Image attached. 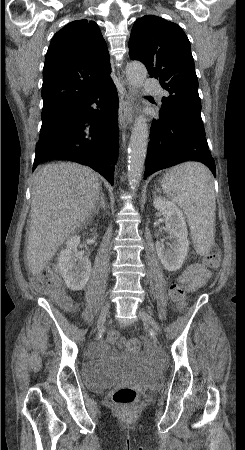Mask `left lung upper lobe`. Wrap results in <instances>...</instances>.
<instances>
[{
  "label": "left lung upper lobe",
  "mask_w": 245,
  "mask_h": 450,
  "mask_svg": "<svg viewBox=\"0 0 245 450\" xmlns=\"http://www.w3.org/2000/svg\"><path fill=\"white\" fill-rule=\"evenodd\" d=\"M129 55L143 62L150 77L158 79L169 92L162 98L160 111L189 120L205 134L191 46L181 27L153 15L137 19L131 31Z\"/></svg>",
  "instance_id": "5c2ea615"
}]
</instances>
